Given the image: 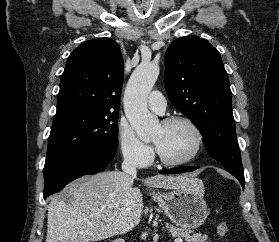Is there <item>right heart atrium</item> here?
<instances>
[{
	"mask_svg": "<svg viewBox=\"0 0 279 242\" xmlns=\"http://www.w3.org/2000/svg\"><path fill=\"white\" fill-rule=\"evenodd\" d=\"M117 143L121 157L128 165L144 167L152 160V149L135 135L131 126L124 120L117 126Z\"/></svg>",
	"mask_w": 279,
	"mask_h": 242,
	"instance_id": "right-heart-atrium-1",
	"label": "right heart atrium"
}]
</instances>
